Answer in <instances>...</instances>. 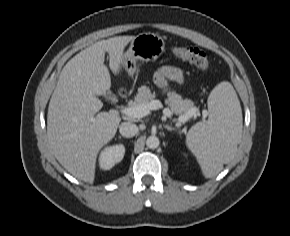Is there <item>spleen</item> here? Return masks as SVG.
<instances>
[{
    "label": "spleen",
    "mask_w": 290,
    "mask_h": 236,
    "mask_svg": "<svg viewBox=\"0 0 290 236\" xmlns=\"http://www.w3.org/2000/svg\"><path fill=\"white\" fill-rule=\"evenodd\" d=\"M208 120L193 125L186 136L206 178H213L230 162L242 137V109L229 82L219 83L208 97Z\"/></svg>",
    "instance_id": "3e777b00"
}]
</instances>
